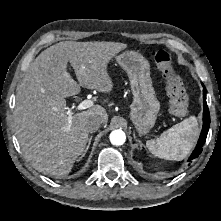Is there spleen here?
Returning <instances> with one entry per match:
<instances>
[{
    "label": "spleen",
    "mask_w": 221,
    "mask_h": 221,
    "mask_svg": "<svg viewBox=\"0 0 221 221\" xmlns=\"http://www.w3.org/2000/svg\"><path fill=\"white\" fill-rule=\"evenodd\" d=\"M199 135L198 121L195 116L183 120L163 132L158 138L146 142L149 151L166 160L184 159Z\"/></svg>",
    "instance_id": "1"
}]
</instances>
